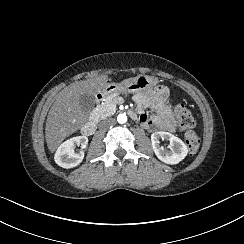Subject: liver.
<instances>
[{
	"label": "liver",
	"mask_w": 244,
	"mask_h": 244,
	"mask_svg": "<svg viewBox=\"0 0 244 244\" xmlns=\"http://www.w3.org/2000/svg\"><path fill=\"white\" fill-rule=\"evenodd\" d=\"M107 79V75H101L79 81L65 87L57 94L48 113L45 127L46 142L51 152H54L67 136L77 131L88 120L89 114L83 112L79 104L80 95L98 93Z\"/></svg>",
	"instance_id": "6515ba94"
}]
</instances>
